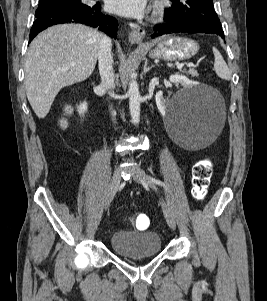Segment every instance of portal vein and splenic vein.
Instances as JSON below:
<instances>
[{"label":"portal vein and splenic vein","mask_w":267,"mask_h":301,"mask_svg":"<svg viewBox=\"0 0 267 301\" xmlns=\"http://www.w3.org/2000/svg\"><path fill=\"white\" fill-rule=\"evenodd\" d=\"M187 65V67H194V64L193 63H188V64H186ZM183 67V65H178L177 66V68L178 69H181Z\"/></svg>","instance_id":"1"}]
</instances>
